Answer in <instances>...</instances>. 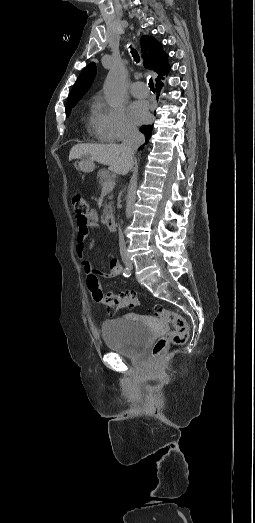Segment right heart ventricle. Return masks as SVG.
Masks as SVG:
<instances>
[{
    "mask_svg": "<svg viewBox=\"0 0 255 523\" xmlns=\"http://www.w3.org/2000/svg\"><path fill=\"white\" fill-rule=\"evenodd\" d=\"M88 132L97 142H109L114 137L110 129L107 110L101 105L94 104L88 120Z\"/></svg>",
    "mask_w": 255,
    "mask_h": 523,
    "instance_id": "1",
    "label": "right heart ventricle"
}]
</instances>
